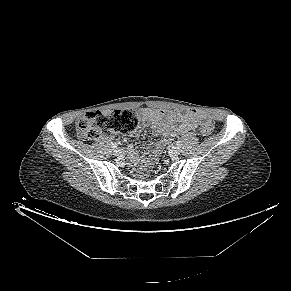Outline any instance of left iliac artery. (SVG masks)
I'll return each mask as SVG.
<instances>
[{"label":"left iliac artery","instance_id":"44dca946","mask_svg":"<svg viewBox=\"0 0 291 291\" xmlns=\"http://www.w3.org/2000/svg\"><path fill=\"white\" fill-rule=\"evenodd\" d=\"M176 145H177V146H181V145H182V142H181V141H177V142H176Z\"/></svg>","mask_w":291,"mask_h":291}]
</instances>
